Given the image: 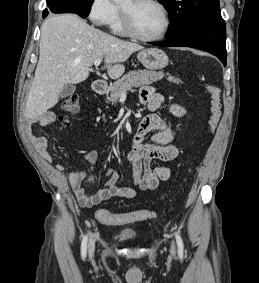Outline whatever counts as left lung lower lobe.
I'll use <instances>...</instances> for the list:
<instances>
[{
  "label": "left lung lower lobe",
  "instance_id": "0a47b994",
  "mask_svg": "<svg viewBox=\"0 0 259 283\" xmlns=\"http://www.w3.org/2000/svg\"><path fill=\"white\" fill-rule=\"evenodd\" d=\"M153 45L199 48L217 56L223 65H226V26L222 17L212 19L189 32L168 37L165 41Z\"/></svg>",
  "mask_w": 259,
  "mask_h": 283
}]
</instances>
